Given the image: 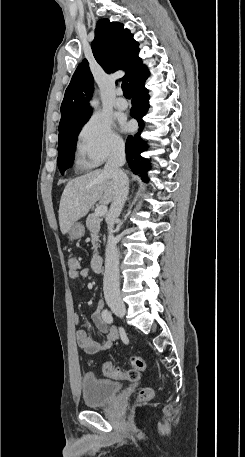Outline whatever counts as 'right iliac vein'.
<instances>
[{"mask_svg": "<svg viewBox=\"0 0 245 457\" xmlns=\"http://www.w3.org/2000/svg\"><path fill=\"white\" fill-rule=\"evenodd\" d=\"M108 306L119 317H123L126 313V307L120 297L106 296Z\"/></svg>", "mask_w": 245, "mask_h": 457, "instance_id": "right-iliac-vein-1", "label": "right iliac vein"}]
</instances>
